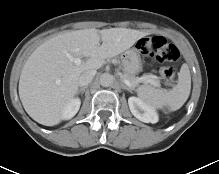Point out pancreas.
I'll list each match as a JSON object with an SVG mask.
<instances>
[{
	"instance_id": "1",
	"label": "pancreas",
	"mask_w": 219,
	"mask_h": 174,
	"mask_svg": "<svg viewBox=\"0 0 219 174\" xmlns=\"http://www.w3.org/2000/svg\"><path fill=\"white\" fill-rule=\"evenodd\" d=\"M121 77L124 80H128L131 83L132 87H135L139 82H145V81L139 80V78L135 77L134 75H129L127 73L122 74ZM147 77H148V79H151L155 83L156 86L160 85L159 84V80L157 79L156 76H154V75H147Z\"/></svg>"
}]
</instances>
